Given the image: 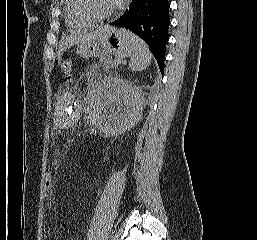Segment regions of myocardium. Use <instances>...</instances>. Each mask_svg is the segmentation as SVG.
<instances>
[{
	"label": "myocardium",
	"mask_w": 257,
	"mask_h": 240,
	"mask_svg": "<svg viewBox=\"0 0 257 240\" xmlns=\"http://www.w3.org/2000/svg\"><path fill=\"white\" fill-rule=\"evenodd\" d=\"M77 1H78V9L81 15L94 23H101V22L107 21L111 19L115 14V10L113 9L111 12L107 14L99 15L95 13L91 8L90 0H77Z\"/></svg>",
	"instance_id": "obj_1"
}]
</instances>
